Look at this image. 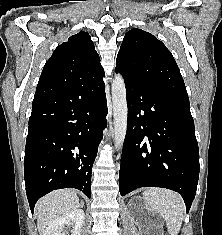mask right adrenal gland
<instances>
[{"label": "right adrenal gland", "mask_w": 222, "mask_h": 235, "mask_svg": "<svg viewBox=\"0 0 222 235\" xmlns=\"http://www.w3.org/2000/svg\"><path fill=\"white\" fill-rule=\"evenodd\" d=\"M84 206V203H83V201L81 202V204H80V207H83Z\"/></svg>", "instance_id": "obj_1"}]
</instances>
